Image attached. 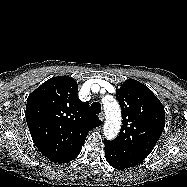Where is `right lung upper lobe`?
<instances>
[{
  "instance_id": "1",
  "label": "right lung upper lobe",
  "mask_w": 187,
  "mask_h": 187,
  "mask_svg": "<svg viewBox=\"0 0 187 187\" xmlns=\"http://www.w3.org/2000/svg\"><path fill=\"white\" fill-rule=\"evenodd\" d=\"M78 84L68 76L53 77L27 99L26 121L38 150L49 160L75 159L90 130L101 125L87 102L77 97Z\"/></svg>"
}]
</instances>
